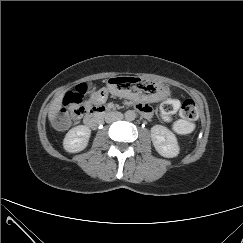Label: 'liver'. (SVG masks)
Instances as JSON below:
<instances>
[{"mask_svg":"<svg viewBox=\"0 0 243 243\" xmlns=\"http://www.w3.org/2000/svg\"><path fill=\"white\" fill-rule=\"evenodd\" d=\"M63 97H64V93H62L57 98H55L52 104L50 105V109L48 113V118L50 122H53L56 116L58 115L60 108L62 106Z\"/></svg>","mask_w":243,"mask_h":243,"instance_id":"obj_1","label":"liver"}]
</instances>
